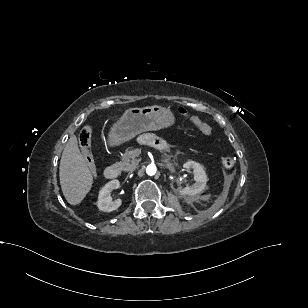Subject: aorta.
Returning a JSON list of instances; mask_svg holds the SVG:
<instances>
[{"mask_svg": "<svg viewBox=\"0 0 308 308\" xmlns=\"http://www.w3.org/2000/svg\"><path fill=\"white\" fill-rule=\"evenodd\" d=\"M157 168L154 164H150L146 167V173L150 176H153L156 174Z\"/></svg>", "mask_w": 308, "mask_h": 308, "instance_id": "obj_1", "label": "aorta"}]
</instances>
